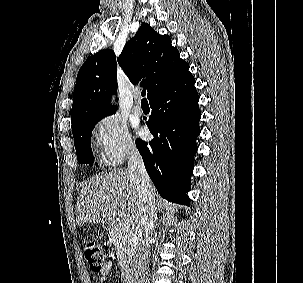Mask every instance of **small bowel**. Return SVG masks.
<instances>
[{"instance_id": "small-bowel-1", "label": "small bowel", "mask_w": 303, "mask_h": 283, "mask_svg": "<svg viewBox=\"0 0 303 283\" xmlns=\"http://www.w3.org/2000/svg\"><path fill=\"white\" fill-rule=\"evenodd\" d=\"M112 267V263L111 262H107L104 266V269L101 272V278L99 283H102L103 280L105 279V277L107 276V274L109 273V271L111 270Z\"/></svg>"}]
</instances>
